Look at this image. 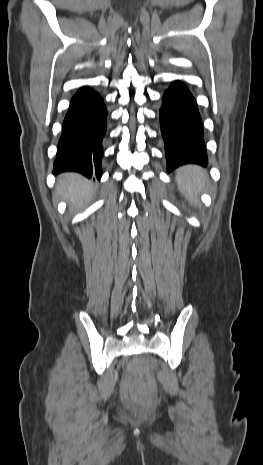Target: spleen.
I'll return each mask as SVG.
<instances>
[{
	"mask_svg": "<svg viewBox=\"0 0 263 465\" xmlns=\"http://www.w3.org/2000/svg\"><path fill=\"white\" fill-rule=\"evenodd\" d=\"M176 180L180 191L193 204L197 203V192L207 181L205 171L195 165L183 166L177 171Z\"/></svg>",
	"mask_w": 263,
	"mask_h": 465,
	"instance_id": "3e777b00",
	"label": "spleen"
}]
</instances>
